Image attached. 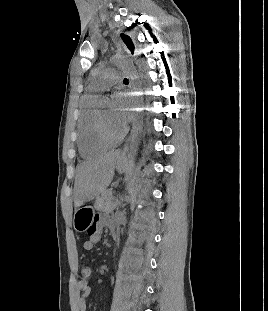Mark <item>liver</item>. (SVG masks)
<instances>
[{
    "label": "liver",
    "mask_w": 268,
    "mask_h": 311,
    "mask_svg": "<svg viewBox=\"0 0 268 311\" xmlns=\"http://www.w3.org/2000/svg\"><path fill=\"white\" fill-rule=\"evenodd\" d=\"M121 151L112 150L95 160L78 166L74 184V205L80 207L102 194L114 177L116 162Z\"/></svg>",
    "instance_id": "obj_1"
}]
</instances>
